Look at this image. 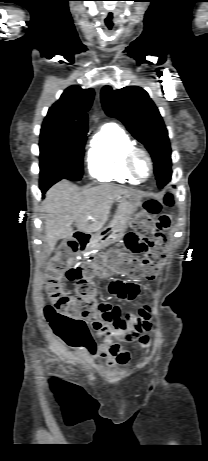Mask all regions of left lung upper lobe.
Here are the masks:
<instances>
[{
	"label": "left lung upper lobe",
	"mask_w": 208,
	"mask_h": 461,
	"mask_svg": "<svg viewBox=\"0 0 208 461\" xmlns=\"http://www.w3.org/2000/svg\"><path fill=\"white\" fill-rule=\"evenodd\" d=\"M106 114L119 119L129 132L150 152L159 187L172 175L171 148L162 117L148 93L138 86L113 90L104 86L101 92Z\"/></svg>",
	"instance_id": "1"
}]
</instances>
